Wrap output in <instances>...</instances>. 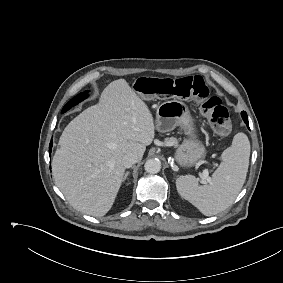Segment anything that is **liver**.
Returning a JSON list of instances; mask_svg holds the SVG:
<instances>
[{
  "mask_svg": "<svg viewBox=\"0 0 283 283\" xmlns=\"http://www.w3.org/2000/svg\"><path fill=\"white\" fill-rule=\"evenodd\" d=\"M155 136L148 106L125 79L111 82L93 105L64 129L52 160L56 185L77 210L103 216L124 178L122 158L140 161Z\"/></svg>",
  "mask_w": 283,
  "mask_h": 283,
  "instance_id": "1",
  "label": "liver"
}]
</instances>
